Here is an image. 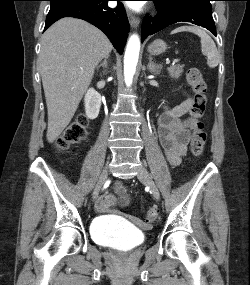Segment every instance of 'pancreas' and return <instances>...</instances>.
Here are the masks:
<instances>
[{
    "mask_svg": "<svg viewBox=\"0 0 250 285\" xmlns=\"http://www.w3.org/2000/svg\"><path fill=\"white\" fill-rule=\"evenodd\" d=\"M167 70L171 78L178 79L183 73V66L182 65H172L168 67Z\"/></svg>",
    "mask_w": 250,
    "mask_h": 285,
    "instance_id": "pancreas-1",
    "label": "pancreas"
}]
</instances>
